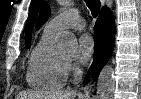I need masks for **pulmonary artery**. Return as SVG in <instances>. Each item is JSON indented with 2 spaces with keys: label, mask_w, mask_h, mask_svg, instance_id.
Returning <instances> with one entry per match:
<instances>
[{
  "label": "pulmonary artery",
  "mask_w": 141,
  "mask_h": 99,
  "mask_svg": "<svg viewBox=\"0 0 141 99\" xmlns=\"http://www.w3.org/2000/svg\"><path fill=\"white\" fill-rule=\"evenodd\" d=\"M85 26L84 19L81 17L77 8L68 9L54 18L45 26V31L57 34L59 31L67 28L83 29Z\"/></svg>",
  "instance_id": "obj_1"
}]
</instances>
